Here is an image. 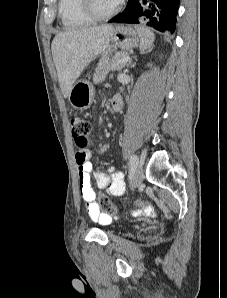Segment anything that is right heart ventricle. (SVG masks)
<instances>
[{"label":"right heart ventricle","instance_id":"e07e8e85","mask_svg":"<svg viewBox=\"0 0 227 298\" xmlns=\"http://www.w3.org/2000/svg\"><path fill=\"white\" fill-rule=\"evenodd\" d=\"M59 16L65 28H80L92 24L82 7V0H59Z\"/></svg>","mask_w":227,"mask_h":298}]
</instances>
